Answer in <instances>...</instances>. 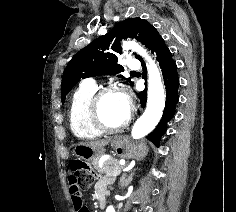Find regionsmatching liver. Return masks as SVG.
<instances>
[{
  "label": "liver",
  "mask_w": 236,
  "mask_h": 212,
  "mask_svg": "<svg viewBox=\"0 0 236 212\" xmlns=\"http://www.w3.org/2000/svg\"><path fill=\"white\" fill-rule=\"evenodd\" d=\"M110 142V139H103V140H95V141H87L80 144L87 145L89 147H92L93 149H102L106 145H108Z\"/></svg>",
  "instance_id": "1"
}]
</instances>
